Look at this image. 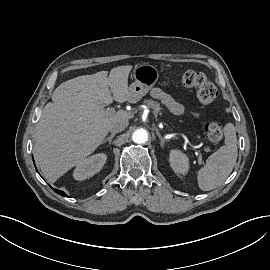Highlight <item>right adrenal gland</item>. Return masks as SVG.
I'll return each mask as SVG.
<instances>
[{"mask_svg":"<svg viewBox=\"0 0 270 270\" xmlns=\"http://www.w3.org/2000/svg\"><path fill=\"white\" fill-rule=\"evenodd\" d=\"M116 133H111L108 137H106L102 144L108 142L109 145H111L112 139L115 137Z\"/></svg>","mask_w":270,"mask_h":270,"instance_id":"right-adrenal-gland-1","label":"right adrenal gland"}]
</instances>
